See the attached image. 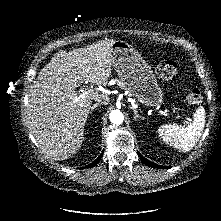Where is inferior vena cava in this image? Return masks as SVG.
Returning <instances> with one entry per match:
<instances>
[{"instance_id": "inferior-vena-cava-1", "label": "inferior vena cava", "mask_w": 221, "mask_h": 221, "mask_svg": "<svg viewBox=\"0 0 221 221\" xmlns=\"http://www.w3.org/2000/svg\"><path fill=\"white\" fill-rule=\"evenodd\" d=\"M109 100H110L109 97L104 94H97L94 97V101L97 102L98 104H102V105H108Z\"/></svg>"}]
</instances>
